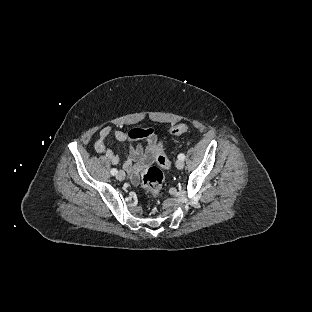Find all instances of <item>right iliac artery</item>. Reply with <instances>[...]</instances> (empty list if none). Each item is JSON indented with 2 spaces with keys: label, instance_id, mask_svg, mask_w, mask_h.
<instances>
[{
  "label": "right iliac artery",
  "instance_id": "1",
  "mask_svg": "<svg viewBox=\"0 0 312 312\" xmlns=\"http://www.w3.org/2000/svg\"><path fill=\"white\" fill-rule=\"evenodd\" d=\"M117 173H118L117 169H115V168L111 169V174L112 175H117Z\"/></svg>",
  "mask_w": 312,
  "mask_h": 312
}]
</instances>
